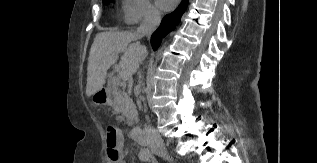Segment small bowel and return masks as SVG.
<instances>
[{"label": "small bowel", "instance_id": "obj_1", "mask_svg": "<svg viewBox=\"0 0 317 163\" xmlns=\"http://www.w3.org/2000/svg\"><path fill=\"white\" fill-rule=\"evenodd\" d=\"M137 156L142 163H156L154 160H151V153L146 148H139Z\"/></svg>", "mask_w": 317, "mask_h": 163}]
</instances>
